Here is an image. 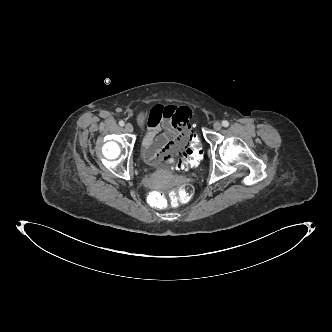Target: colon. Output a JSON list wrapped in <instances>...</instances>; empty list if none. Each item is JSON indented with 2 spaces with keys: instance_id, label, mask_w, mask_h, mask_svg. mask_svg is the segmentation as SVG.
Segmentation results:
<instances>
[{
  "instance_id": "5ec220e1",
  "label": "colon",
  "mask_w": 332,
  "mask_h": 332,
  "mask_svg": "<svg viewBox=\"0 0 332 332\" xmlns=\"http://www.w3.org/2000/svg\"><path fill=\"white\" fill-rule=\"evenodd\" d=\"M190 133L192 134L190 138V143L185 151L179 156V159H172L170 161V168L172 170L185 169L189 167H195L199 164L203 156V151L201 145L203 143V138L201 135L202 126L199 121H192L189 126ZM194 194V187L187 183L182 185L180 188L175 190L169 198L163 192H153L149 196L150 204L156 208L165 207L168 202L171 204H178L181 202L189 201Z\"/></svg>"
}]
</instances>
